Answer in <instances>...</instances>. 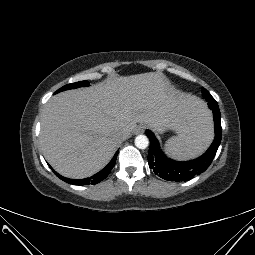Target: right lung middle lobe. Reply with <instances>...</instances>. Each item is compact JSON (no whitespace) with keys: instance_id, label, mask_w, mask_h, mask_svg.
<instances>
[{"instance_id":"obj_1","label":"right lung middle lobe","mask_w":255,"mask_h":255,"mask_svg":"<svg viewBox=\"0 0 255 255\" xmlns=\"http://www.w3.org/2000/svg\"><path fill=\"white\" fill-rule=\"evenodd\" d=\"M86 86H89L88 81H80V82H76V83H72V84H67V85L61 87L59 90H57L56 93L64 91V90H68V89H74V88L86 87Z\"/></svg>"}]
</instances>
